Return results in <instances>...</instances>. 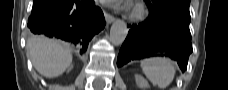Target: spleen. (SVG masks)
Masks as SVG:
<instances>
[{"label":"spleen","mask_w":228,"mask_h":90,"mask_svg":"<svg viewBox=\"0 0 228 90\" xmlns=\"http://www.w3.org/2000/svg\"><path fill=\"white\" fill-rule=\"evenodd\" d=\"M141 67L150 82L162 89L170 85L176 73L172 61L165 57L142 60Z\"/></svg>","instance_id":"3e777b00"}]
</instances>
